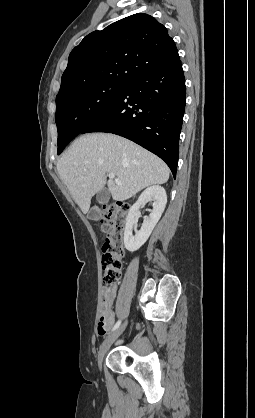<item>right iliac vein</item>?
<instances>
[{
  "instance_id": "63e3f726",
  "label": "right iliac vein",
  "mask_w": 255,
  "mask_h": 418,
  "mask_svg": "<svg viewBox=\"0 0 255 418\" xmlns=\"http://www.w3.org/2000/svg\"><path fill=\"white\" fill-rule=\"evenodd\" d=\"M127 325V322H125L123 325H121L119 328H117L112 334H110L102 343L99 352H98V366L101 368L103 358L105 354L108 352L111 345L114 343V341L122 334V332L125 330Z\"/></svg>"
}]
</instances>
